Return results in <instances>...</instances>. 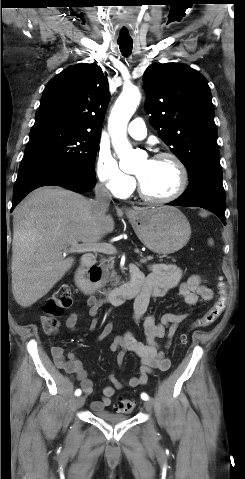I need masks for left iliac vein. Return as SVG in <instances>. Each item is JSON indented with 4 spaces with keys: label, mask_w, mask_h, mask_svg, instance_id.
I'll list each match as a JSON object with an SVG mask.
<instances>
[{
    "label": "left iliac vein",
    "mask_w": 245,
    "mask_h": 479,
    "mask_svg": "<svg viewBox=\"0 0 245 479\" xmlns=\"http://www.w3.org/2000/svg\"><path fill=\"white\" fill-rule=\"evenodd\" d=\"M144 408H145L147 411L151 412L152 409H153V404H152V402H151L150 400H146V401L144 402Z\"/></svg>",
    "instance_id": "obj_1"
}]
</instances>
